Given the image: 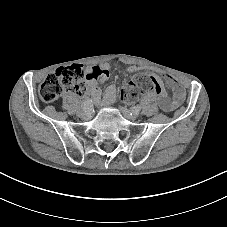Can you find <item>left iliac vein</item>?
I'll list each match as a JSON object with an SVG mask.
<instances>
[{"instance_id":"left-iliac-vein-1","label":"left iliac vein","mask_w":227,"mask_h":227,"mask_svg":"<svg viewBox=\"0 0 227 227\" xmlns=\"http://www.w3.org/2000/svg\"><path fill=\"white\" fill-rule=\"evenodd\" d=\"M121 110H122L124 116L129 120H136L138 118V115L136 113H132L130 110H128L125 107H122Z\"/></svg>"}]
</instances>
